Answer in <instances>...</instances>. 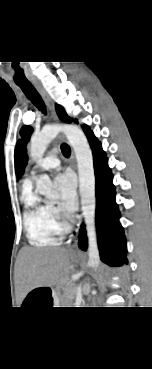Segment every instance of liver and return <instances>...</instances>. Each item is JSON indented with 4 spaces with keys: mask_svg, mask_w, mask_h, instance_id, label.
<instances>
[{
    "mask_svg": "<svg viewBox=\"0 0 152 369\" xmlns=\"http://www.w3.org/2000/svg\"><path fill=\"white\" fill-rule=\"evenodd\" d=\"M64 249L24 247L19 253V282L25 292L62 283L68 276Z\"/></svg>",
    "mask_w": 152,
    "mask_h": 369,
    "instance_id": "6515ba94",
    "label": "liver"
}]
</instances>
